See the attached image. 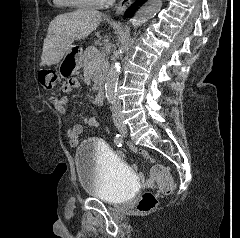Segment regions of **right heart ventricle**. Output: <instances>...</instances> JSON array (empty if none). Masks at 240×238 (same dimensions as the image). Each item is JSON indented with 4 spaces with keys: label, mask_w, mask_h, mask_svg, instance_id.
<instances>
[{
    "label": "right heart ventricle",
    "mask_w": 240,
    "mask_h": 238,
    "mask_svg": "<svg viewBox=\"0 0 240 238\" xmlns=\"http://www.w3.org/2000/svg\"><path fill=\"white\" fill-rule=\"evenodd\" d=\"M54 4L58 7H62V8H76V7H80L77 5H74L72 3H70L68 0H53Z\"/></svg>",
    "instance_id": "right-heart-ventricle-1"
}]
</instances>
